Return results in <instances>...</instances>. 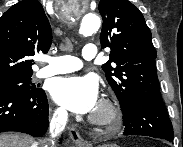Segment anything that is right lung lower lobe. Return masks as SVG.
Returning a JSON list of instances; mask_svg holds the SVG:
<instances>
[{
  "instance_id": "right-lung-lower-lobe-1",
  "label": "right lung lower lobe",
  "mask_w": 183,
  "mask_h": 147,
  "mask_svg": "<svg viewBox=\"0 0 183 147\" xmlns=\"http://www.w3.org/2000/svg\"><path fill=\"white\" fill-rule=\"evenodd\" d=\"M49 126L48 101L41 88L0 91V132L42 136Z\"/></svg>"
}]
</instances>
